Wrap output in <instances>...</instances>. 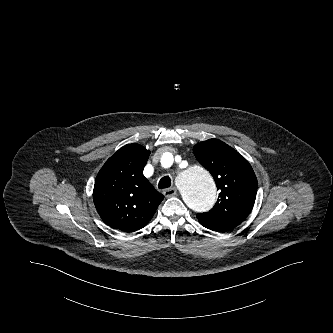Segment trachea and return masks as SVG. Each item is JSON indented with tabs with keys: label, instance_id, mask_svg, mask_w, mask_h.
<instances>
[{
	"label": "trachea",
	"instance_id": "obj_1",
	"mask_svg": "<svg viewBox=\"0 0 333 333\" xmlns=\"http://www.w3.org/2000/svg\"><path fill=\"white\" fill-rule=\"evenodd\" d=\"M170 186H171V179L168 176L161 178L158 184V187L160 189L168 188Z\"/></svg>",
	"mask_w": 333,
	"mask_h": 333
}]
</instances>
